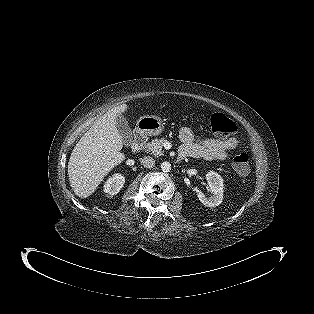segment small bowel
Masks as SVG:
<instances>
[{"instance_id": "c3829d8e", "label": "small bowel", "mask_w": 314, "mask_h": 314, "mask_svg": "<svg viewBox=\"0 0 314 314\" xmlns=\"http://www.w3.org/2000/svg\"><path fill=\"white\" fill-rule=\"evenodd\" d=\"M179 138L183 142L180 157L203 158L205 160H226L238 145L235 137L226 139L199 138L188 127L179 128Z\"/></svg>"}]
</instances>
